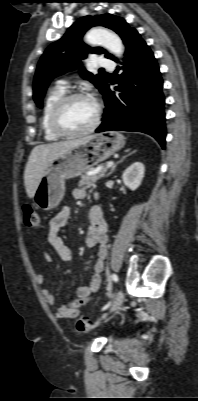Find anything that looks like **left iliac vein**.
<instances>
[{"instance_id":"4c4485c4","label":"left iliac vein","mask_w":198,"mask_h":401,"mask_svg":"<svg viewBox=\"0 0 198 401\" xmlns=\"http://www.w3.org/2000/svg\"><path fill=\"white\" fill-rule=\"evenodd\" d=\"M123 298H124V294L121 290H119L115 296L112 306L110 307V312L117 310L121 306V304L123 302Z\"/></svg>"}]
</instances>
